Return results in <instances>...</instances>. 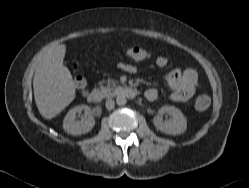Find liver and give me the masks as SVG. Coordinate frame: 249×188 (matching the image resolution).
<instances>
[{"mask_svg":"<svg viewBox=\"0 0 249 188\" xmlns=\"http://www.w3.org/2000/svg\"><path fill=\"white\" fill-rule=\"evenodd\" d=\"M66 45L53 48L38 65L33 79L36 106L46 119L57 116L76 96L72 75L63 65Z\"/></svg>","mask_w":249,"mask_h":188,"instance_id":"liver-1","label":"liver"}]
</instances>
